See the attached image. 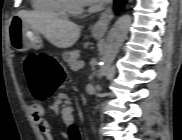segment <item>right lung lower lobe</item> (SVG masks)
Here are the masks:
<instances>
[{
  "label": "right lung lower lobe",
  "mask_w": 182,
  "mask_h": 140,
  "mask_svg": "<svg viewBox=\"0 0 182 140\" xmlns=\"http://www.w3.org/2000/svg\"><path fill=\"white\" fill-rule=\"evenodd\" d=\"M125 0H115L116 10L119 11L124 5Z\"/></svg>",
  "instance_id": "right-lung-lower-lobe-1"
}]
</instances>
